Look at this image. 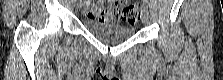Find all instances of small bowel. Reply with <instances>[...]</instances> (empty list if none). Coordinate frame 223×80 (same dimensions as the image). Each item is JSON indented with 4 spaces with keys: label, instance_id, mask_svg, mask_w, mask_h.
Returning a JSON list of instances; mask_svg holds the SVG:
<instances>
[{
    "label": "small bowel",
    "instance_id": "small-bowel-1",
    "mask_svg": "<svg viewBox=\"0 0 223 80\" xmlns=\"http://www.w3.org/2000/svg\"><path fill=\"white\" fill-rule=\"evenodd\" d=\"M113 6V1H108L106 5L101 2L89 3L85 7L84 14L88 18L102 21L119 19L113 11Z\"/></svg>",
    "mask_w": 223,
    "mask_h": 80
}]
</instances>
